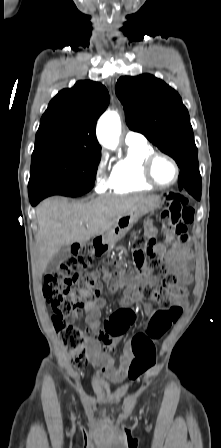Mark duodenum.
Returning <instances> with one entry per match:
<instances>
[{
    "mask_svg": "<svg viewBox=\"0 0 221 448\" xmlns=\"http://www.w3.org/2000/svg\"><path fill=\"white\" fill-rule=\"evenodd\" d=\"M108 248V243L103 237H97L93 241V251L96 256L103 255Z\"/></svg>",
    "mask_w": 221,
    "mask_h": 448,
    "instance_id": "1",
    "label": "duodenum"
}]
</instances>
